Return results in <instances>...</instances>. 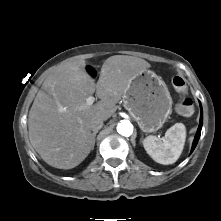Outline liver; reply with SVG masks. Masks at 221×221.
<instances>
[{"label": "liver", "mask_w": 221, "mask_h": 221, "mask_svg": "<svg viewBox=\"0 0 221 221\" xmlns=\"http://www.w3.org/2000/svg\"><path fill=\"white\" fill-rule=\"evenodd\" d=\"M85 66L84 60L75 61L46 78L29 111L30 143L55 168L72 169L88 156L93 148L90 123L109 119L131 80L150 64L133 56H111L97 83ZM94 93L100 101L87 106Z\"/></svg>", "instance_id": "obj_1"}]
</instances>
